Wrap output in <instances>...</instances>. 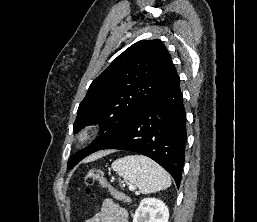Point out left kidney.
Here are the masks:
<instances>
[{"label":"left kidney","mask_w":257,"mask_h":222,"mask_svg":"<svg viewBox=\"0 0 257 222\" xmlns=\"http://www.w3.org/2000/svg\"><path fill=\"white\" fill-rule=\"evenodd\" d=\"M169 210L163 201L144 198L137 208L133 222H168Z\"/></svg>","instance_id":"left-kidney-1"}]
</instances>
